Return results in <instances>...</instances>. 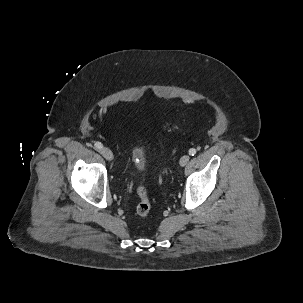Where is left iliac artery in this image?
Returning a JSON list of instances; mask_svg holds the SVG:
<instances>
[{
	"label": "left iliac artery",
	"mask_w": 303,
	"mask_h": 303,
	"mask_svg": "<svg viewBox=\"0 0 303 303\" xmlns=\"http://www.w3.org/2000/svg\"><path fill=\"white\" fill-rule=\"evenodd\" d=\"M196 154V150L194 148H191L189 150V155L194 156Z\"/></svg>",
	"instance_id": "left-iliac-artery-1"
}]
</instances>
